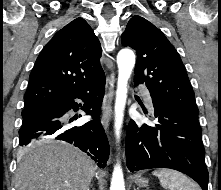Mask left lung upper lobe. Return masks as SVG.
<instances>
[{
	"mask_svg": "<svg viewBox=\"0 0 221 190\" xmlns=\"http://www.w3.org/2000/svg\"><path fill=\"white\" fill-rule=\"evenodd\" d=\"M122 45L136 50L134 80L145 83L154 102L198 118L195 95L182 60L157 27L143 17L133 16L122 34Z\"/></svg>",
	"mask_w": 221,
	"mask_h": 190,
	"instance_id": "left-lung-upper-lobe-1",
	"label": "left lung upper lobe"
}]
</instances>
